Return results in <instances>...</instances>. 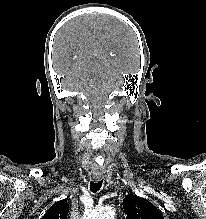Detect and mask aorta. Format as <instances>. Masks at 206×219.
<instances>
[{"label": "aorta", "mask_w": 206, "mask_h": 219, "mask_svg": "<svg viewBox=\"0 0 206 219\" xmlns=\"http://www.w3.org/2000/svg\"><path fill=\"white\" fill-rule=\"evenodd\" d=\"M115 211L112 207H103L87 213L83 219H114Z\"/></svg>", "instance_id": "aorta-1"}]
</instances>
